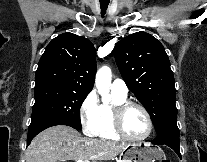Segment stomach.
Returning a JSON list of instances; mask_svg holds the SVG:
<instances>
[{
    "label": "stomach",
    "mask_w": 207,
    "mask_h": 162,
    "mask_svg": "<svg viewBox=\"0 0 207 162\" xmlns=\"http://www.w3.org/2000/svg\"><path fill=\"white\" fill-rule=\"evenodd\" d=\"M155 160H166L164 152L149 143L129 144L121 152L120 162H155Z\"/></svg>",
    "instance_id": "1"
}]
</instances>
